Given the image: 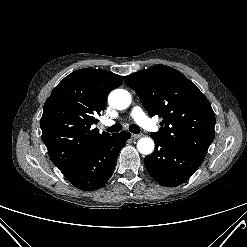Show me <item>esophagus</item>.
<instances>
[{"label":"esophagus","mask_w":247,"mask_h":247,"mask_svg":"<svg viewBox=\"0 0 247 247\" xmlns=\"http://www.w3.org/2000/svg\"><path fill=\"white\" fill-rule=\"evenodd\" d=\"M143 135L142 134H131V138L132 139H139L141 138Z\"/></svg>","instance_id":"esophagus-1"}]
</instances>
